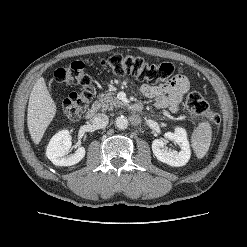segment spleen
Here are the masks:
<instances>
[{"label":"spleen","instance_id":"obj_1","mask_svg":"<svg viewBox=\"0 0 247 247\" xmlns=\"http://www.w3.org/2000/svg\"><path fill=\"white\" fill-rule=\"evenodd\" d=\"M211 142V127L209 123L203 122L199 126V134L196 138L193 148L198 158H203L210 146Z\"/></svg>","mask_w":247,"mask_h":247}]
</instances>
